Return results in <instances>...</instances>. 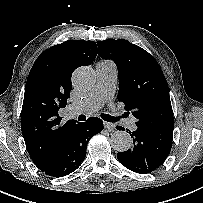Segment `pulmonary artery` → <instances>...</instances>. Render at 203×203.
Instances as JSON below:
<instances>
[{
	"mask_svg": "<svg viewBox=\"0 0 203 203\" xmlns=\"http://www.w3.org/2000/svg\"><path fill=\"white\" fill-rule=\"evenodd\" d=\"M96 73L97 83L95 87L82 104L70 107V113L72 115L92 113L113 98L117 82L115 65L108 61L99 62L96 65ZM127 126L131 131H135L137 129L136 119H129L127 121Z\"/></svg>",
	"mask_w": 203,
	"mask_h": 203,
	"instance_id": "pulmonary-artery-1",
	"label": "pulmonary artery"
}]
</instances>
